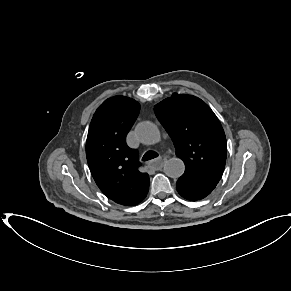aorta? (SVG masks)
Wrapping results in <instances>:
<instances>
[{"label":"aorta","mask_w":291,"mask_h":291,"mask_svg":"<svg viewBox=\"0 0 291 291\" xmlns=\"http://www.w3.org/2000/svg\"><path fill=\"white\" fill-rule=\"evenodd\" d=\"M135 132L138 140L146 145L156 144L161 139V134L158 127L150 121L139 123L135 129ZM164 171L167 176L171 178H178L182 176L185 171L184 162L181 159H170L165 164Z\"/></svg>","instance_id":"obj_1"}]
</instances>
